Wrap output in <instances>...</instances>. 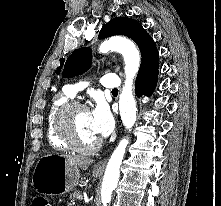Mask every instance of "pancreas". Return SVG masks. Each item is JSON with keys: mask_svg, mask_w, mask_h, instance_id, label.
I'll list each match as a JSON object with an SVG mask.
<instances>
[{"mask_svg": "<svg viewBox=\"0 0 221 206\" xmlns=\"http://www.w3.org/2000/svg\"><path fill=\"white\" fill-rule=\"evenodd\" d=\"M78 196H81V192L76 190L70 195V198H73V200H74L75 198H78ZM73 205H74L73 202L68 204V206H73Z\"/></svg>", "mask_w": 221, "mask_h": 206, "instance_id": "cf45deb5", "label": "pancreas"}]
</instances>
